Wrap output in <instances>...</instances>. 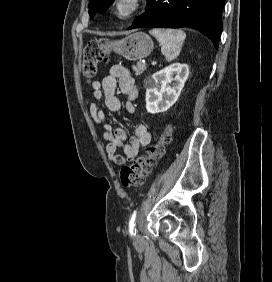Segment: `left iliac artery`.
<instances>
[{
  "mask_svg": "<svg viewBox=\"0 0 272 282\" xmlns=\"http://www.w3.org/2000/svg\"><path fill=\"white\" fill-rule=\"evenodd\" d=\"M136 211L132 214L131 219L129 221V232L131 235H133V231L135 228V218H136Z\"/></svg>",
  "mask_w": 272,
  "mask_h": 282,
  "instance_id": "left-iliac-artery-1",
  "label": "left iliac artery"
}]
</instances>
